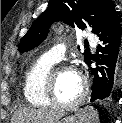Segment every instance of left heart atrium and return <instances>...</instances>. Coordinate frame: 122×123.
Wrapping results in <instances>:
<instances>
[{"instance_id":"1","label":"left heart atrium","mask_w":122,"mask_h":123,"mask_svg":"<svg viewBox=\"0 0 122 123\" xmlns=\"http://www.w3.org/2000/svg\"><path fill=\"white\" fill-rule=\"evenodd\" d=\"M76 73L78 74V76H80V77H81V74H80V72H79V71H76Z\"/></svg>"}]
</instances>
